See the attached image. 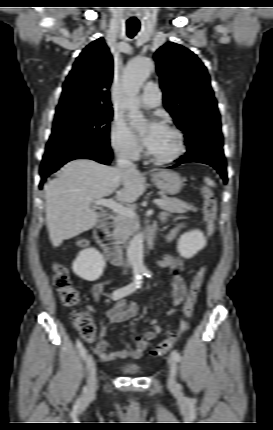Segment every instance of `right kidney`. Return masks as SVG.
<instances>
[{"mask_svg":"<svg viewBox=\"0 0 273 430\" xmlns=\"http://www.w3.org/2000/svg\"><path fill=\"white\" fill-rule=\"evenodd\" d=\"M105 260L103 255L95 248L81 251L73 262V272L83 280L93 282L103 274Z\"/></svg>","mask_w":273,"mask_h":430,"instance_id":"1","label":"right kidney"}]
</instances>
